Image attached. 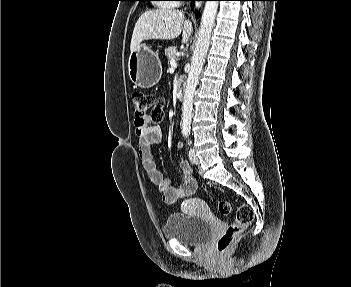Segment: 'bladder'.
Here are the masks:
<instances>
[{
    "label": "bladder",
    "mask_w": 351,
    "mask_h": 287,
    "mask_svg": "<svg viewBox=\"0 0 351 287\" xmlns=\"http://www.w3.org/2000/svg\"><path fill=\"white\" fill-rule=\"evenodd\" d=\"M163 234L166 239L177 240L184 245L197 246L211 237L212 223L205 217H192L184 213L168 216Z\"/></svg>",
    "instance_id": "31cf9c89"
}]
</instances>
